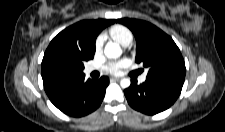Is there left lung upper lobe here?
Here are the masks:
<instances>
[{"label":"left lung upper lobe","instance_id":"1","mask_svg":"<svg viewBox=\"0 0 225 132\" xmlns=\"http://www.w3.org/2000/svg\"><path fill=\"white\" fill-rule=\"evenodd\" d=\"M115 21L133 32L137 43L135 61L148 69L147 78L184 82V59L170 36L143 20L123 18Z\"/></svg>","mask_w":225,"mask_h":132}]
</instances>
